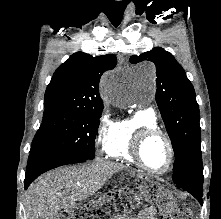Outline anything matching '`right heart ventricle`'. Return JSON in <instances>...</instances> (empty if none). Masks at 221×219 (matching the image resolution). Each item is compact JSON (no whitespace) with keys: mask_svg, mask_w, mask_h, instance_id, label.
I'll return each mask as SVG.
<instances>
[{"mask_svg":"<svg viewBox=\"0 0 221 219\" xmlns=\"http://www.w3.org/2000/svg\"><path fill=\"white\" fill-rule=\"evenodd\" d=\"M144 126L157 127V118L151 110H139L131 116L114 122L105 153L109 158L126 163H136L130 153L135 131Z\"/></svg>","mask_w":221,"mask_h":219,"instance_id":"1","label":"right heart ventricle"}]
</instances>
